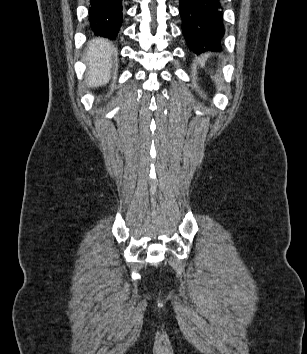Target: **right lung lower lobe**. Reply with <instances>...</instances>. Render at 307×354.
Masks as SVG:
<instances>
[{"mask_svg":"<svg viewBox=\"0 0 307 354\" xmlns=\"http://www.w3.org/2000/svg\"><path fill=\"white\" fill-rule=\"evenodd\" d=\"M122 0H90L91 30L108 39H115L122 23Z\"/></svg>","mask_w":307,"mask_h":354,"instance_id":"98d812e1","label":"right lung lower lobe"}]
</instances>
